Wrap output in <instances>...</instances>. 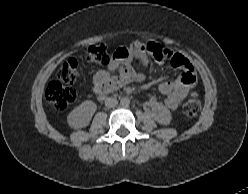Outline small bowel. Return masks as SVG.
Listing matches in <instances>:
<instances>
[{
    "mask_svg": "<svg viewBox=\"0 0 248 194\" xmlns=\"http://www.w3.org/2000/svg\"><path fill=\"white\" fill-rule=\"evenodd\" d=\"M159 46L156 43L134 42L129 47L117 48L110 64L105 69L96 72L91 86L92 92L103 95L131 82L146 80L145 69L148 64L146 53H151V48ZM133 61L140 65L139 71L134 70L131 66ZM170 63L172 66L180 68L182 72L174 81L162 82L159 90L165 96V107L175 110L186 96L195 91L196 73L190 61L182 55L174 54ZM148 107L152 111L158 112L159 103L152 99L148 102Z\"/></svg>",
    "mask_w": 248,
    "mask_h": 194,
    "instance_id": "obj_1",
    "label": "small bowel"
}]
</instances>
